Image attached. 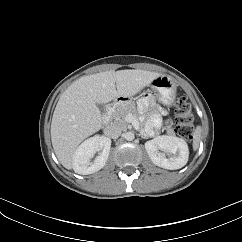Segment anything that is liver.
Instances as JSON below:
<instances>
[{"instance_id":"obj_1","label":"liver","mask_w":242,"mask_h":242,"mask_svg":"<svg viewBox=\"0 0 242 242\" xmlns=\"http://www.w3.org/2000/svg\"><path fill=\"white\" fill-rule=\"evenodd\" d=\"M159 76L162 75L130 69L100 72L73 82L61 95L51 123L52 145L60 163L72 169L77 146L101 129L102 115L97 103L131 98Z\"/></svg>"}]
</instances>
